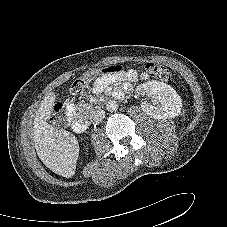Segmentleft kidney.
<instances>
[{"mask_svg":"<svg viewBox=\"0 0 227 227\" xmlns=\"http://www.w3.org/2000/svg\"><path fill=\"white\" fill-rule=\"evenodd\" d=\"M138 93H149L157 99V104L142 102V110L154 119L174 118L182 109V100L177 92L166 83L147 81L137 88Z\"/></svg>","mask_w":227,"mask_h":227,"instance_id":"5707ae66","label":"left kidney"}]
</instances>
